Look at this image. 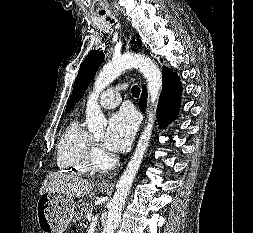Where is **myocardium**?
<instances>
[{"mask_svg":"<svg viewBox=\"0 0 253 233\" xmlns=\"http://www.w3.org/2000/svg\"><path fill=\"white\" fill-rule=\"evenodd\" d=\"M85 160L91 170L110 169L116 163V158L107 153L95 138H92L86 151Z\"/></svg>","mask_w":253,"mask_h":233,"instance_id":"obj_1","label":"myocardium"}]
</instances>
